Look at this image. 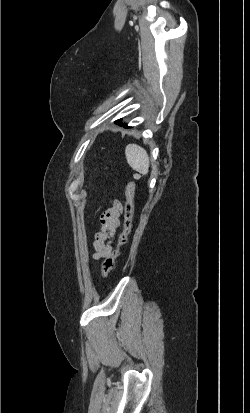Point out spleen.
<instances>
[{
    "instance_id": "obj_1",
    "label": "spleen",
    "mask_w": 250,
    "mask_h": 413,
    "mask_svg": "<svg viewBox=\"0 0 250 413\" xmlns=\"http://www.w3.org/2000/svg\"><path fill=\"white\" fill-rule=\"evenodd\" d=\"M125 155L128 164L133 170L143 175L148 174L149 157L145 149L137 144H129L126 146Z\"/></svg>"
}]
</instances>
